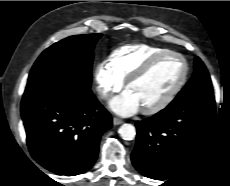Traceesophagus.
Returning <instances> with one entry per match:
<instances>
[{"instance_id": "obj_1", "label": "esophagus", "mask_w": 230, "mask_h": 186, "mask_svg": "<svg viewBox=\"0 0 230 186\" xmlns=\"http://www.w3.org/2000/svg\"><path fill=\"white\" fill-rule=\"evenodd\" d=\"M122 123H123V121H122L121 119H119V118H117V117H114V118H113V124H114L115 126L120 125V124H122Z\"/></svg>"}]
</instances>
